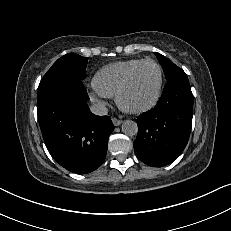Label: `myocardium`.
<instances>
[{"label": "myocardium", "mask_w": 231, "mask_h": 231, "mask_svg": "<svg viewBox=\"0 0 231 231\" xmlns=\"http://www.w3.org/2000/svg\"><path fill=\"white\" fill-rule=\"evenodd\" d=\"M145 64H153L156 66V68L158 70L159 80H158L156 92H155L153 98L144 106L139 107V108H129L124 104L123 96H124L125 92L127 91L128 87L130 86L132 79H133L135 73L137 72V70ZM163 81H164V75H163V69H162L161 65L153 59L142 60L141 62H139L137 65H135L128 72L124 81L120 85V87H119V89L115 95V100H116L118 107L121 110H123L124 112L131 113V114H141V113H144V112L151 110L157 104V102L161 96V92H162V88H163Z\"/></svg>", "instance_id": "obj_1"}]
</instances>
